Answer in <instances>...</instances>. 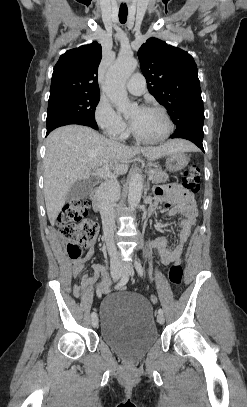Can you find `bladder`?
I'll list each match as a JSON object with an SVG mask.
<instances>
[{
  "mask_svg": "<svg viewBox=\"0 0 247 407\" xmlns=\"http://www.w3.org/2000/svg\"><path fill=\"white\" fill-rule=\"evenodd\" d=\"M99 317L102 341L126 361L141 360L159 338L153 308L139 294L121 291L106 297Z\"/></svg>",
  "mask_w": 247,
  "mask_h": 407,
  "instance_id": "31cf9c89",
  "label": "bladder"
}]
</instances>
